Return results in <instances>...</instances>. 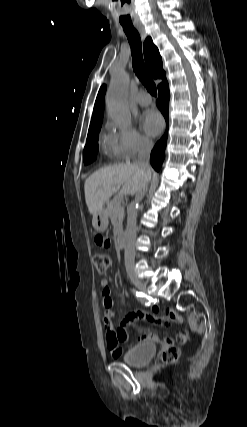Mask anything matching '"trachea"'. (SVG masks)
<instances>
[{"instance_id":"1","label":"trachea","mask_w":247,"mask_h":427,"mask_svg":"<svg viewBox=\"0 0 247 427\" xmlns=\"http://www.w3.org/2000/svg\"><path fill=\"white\" fill-rule=\"evenodd\" d=\"M122 27L130 43L133 69L139 80L146 87L147 91L151 95L156 96V85L150 77L144 64L140 35L132 25H122Z\"/></svg>"}]
</instances>
